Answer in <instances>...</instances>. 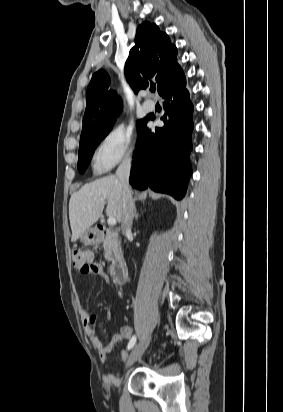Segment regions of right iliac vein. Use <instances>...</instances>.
I'll list each match as a JSON object with an SVG mask.
<instances>
[{"instance_id": "right-iliac-vein-1", "label": "right iliac vein", "mask_w": 283, "mask_h": 412, "mask_svg": "<svg viewBox=\"0 0 283 412\" xmlns=\"http://www.w3.org/2000/svg\"><path fill=\"white\" fill-rule=\"evenodd\" d=\"M150 340L151 335H148L134 347L126 362L127 367L131 366L136 360H138L143 355V353L145 352L146 348L150 343Z\"/></svg>"}]
</instances>
